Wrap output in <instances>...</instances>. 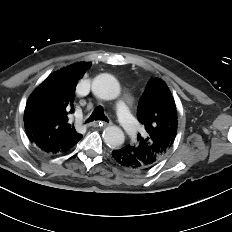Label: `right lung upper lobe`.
Here are the masks:
<instances>
[{"label": "right lung upper lobe", "instance_id": "obj_1", "mask_svg": "<svg viewBox=\"0 0 232 232\" xmlns=\"http://www.w3.org/2000/svg\"><path fill=\"white\" fill-rule=\"evenodd\" d=\"M90 62H80L50 74L30 95L24 111V125L30 142L45 154L70 150L82 135L70 124L77 82Z\"/></svg>", "mask_w": 232, "mask_h": 232}]
</instances>
